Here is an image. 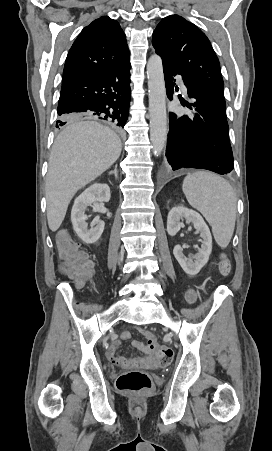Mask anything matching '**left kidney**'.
<instances>
[{
  "label": "left kidney",
  "instance_id": "5707ae66",
  "mask_svg": "<svg viewBox=\"0 0 272 451\" xmlns=\"http://www.w3.org/2000/svg\"><path fill=\"white\" fill-rule=\"evenodd\" d=\"M182 218H185L186 222H191L196 231H200V237H202L203 241L201 247L198 249V253H195L192 257H186V255H184L181 245H175L173 253L182 269H184L188 275H196L209 259V255L212 251V235L202 216H200L198 212H194V210L183 208V206L172 208L168 214L167 231L169 235H176L177 231H179L182 226V222H180Z\"/></svg>",
  "mask_w": 272,
  "mask_h": 451
}]
</instances>
